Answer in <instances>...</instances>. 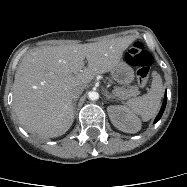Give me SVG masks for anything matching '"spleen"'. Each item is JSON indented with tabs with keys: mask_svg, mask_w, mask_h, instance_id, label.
<instances>
[{
	"mask_svg": "<svg viewBox=\"0 0 187 187\" xmlns=\"http://www.w3.org/2000/svg\"><path fill=\"white\" fill-rule=\"evenodd\" d=\"M163 96V84L160 75L154 73L151 89L143 96L131 99L126 108L148 121L157 113Z\"/></svg>",
	"mask_w": 187,
	"mask_h": 187,
	"instance_id": "3e777b00",
	"label": "spleen"
}]
</instances>
